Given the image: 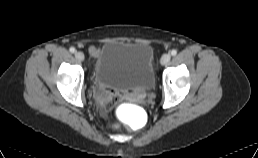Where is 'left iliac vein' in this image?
Here are the masks:
<instances>
[{
	"instance_id": "4c4485c4",
	"label": "left iliac vein",
	"mask_w": 258,
	"mask_h": 158,
	"mask_svg": "<svg viewBox=\"0 0 258 158\" xmlns=\"http://www.w3.org/2000/svg\"><path fill=\"white\" fill-rule=\"evenodd\" d=\"M171 59V56L169 53H165L163 54V56L161 57V64L162 65H166Z\"/></svg>"
}]
</instances>
